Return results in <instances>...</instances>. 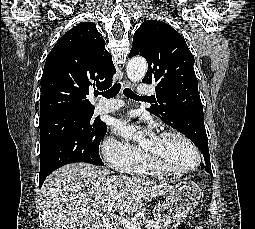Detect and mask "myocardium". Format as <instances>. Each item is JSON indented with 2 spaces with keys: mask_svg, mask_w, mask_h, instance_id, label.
Instances as JSON below:
<instances>
[{
  "mask_svg": "<svg viewBox=\"0 0 255 229\" xmlns=\"http://www.w3.org/2000/svg\"><path fill=\"white\" fill-rule=\"evenodd\" d=\"M158 136H176V137L181 138L183 141H185L192 148V150L195 153L196 160H195L194 164H192L191 166H188L185 168H172V167L165 166L161 162L155 160L140 147L141 154L143 155L144 159L149 164H151L153 167H155L158 170H161L165 173L170 174L168 176L184 175V174L189 173L199 167V165L201 164V161H202L201 152H200L199 148L197 147V145L193 142V140L190 137H188L185 133L178 131V130H165V131L160 132Z\"/></svg>",
  "mask_w": 255,
  "mask_h": 229,
  "instance_id": "obj_1",
  "label": "myocardium"
}]
</instances>
